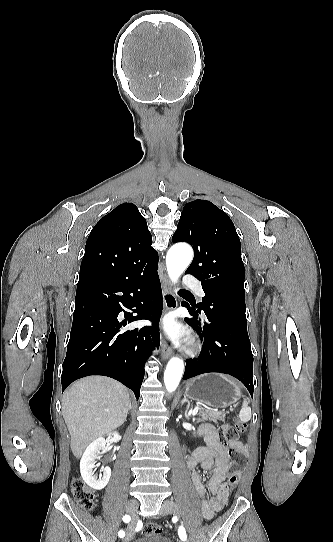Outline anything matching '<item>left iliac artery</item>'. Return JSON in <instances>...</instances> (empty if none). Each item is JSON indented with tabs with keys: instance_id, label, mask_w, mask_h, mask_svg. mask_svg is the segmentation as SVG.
<instances>
[{
	"instance_id": "left-iliac-artery-1",
	"label": "left iliac artery",
	"mask_w": 333,
	"mask_h": 542,
	"mask_svg": "<svg viewBox=\"0 0 333 542\" xmlns=\"http://www.w3.org/2000/svg\"><path fill=\"white\" fill-rule=\"evenodd\" d=\"M178 534H179V537H180L182 540H186L187 536H186V532H185V529H184L183 526H180V527H179Z\"/></svg>"
}]
</instances>
